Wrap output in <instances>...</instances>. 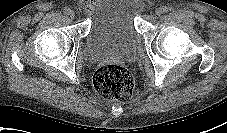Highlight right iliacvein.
<instances>
[{"instance_id":"1","label":"right iliac vein","mask_w":227,"mask_h":133,"mask_svg":"<svg viewBox=\"0 0 227 133\" xmlns=\"http://www.w3.org/2000/svg\"><path fill=\"white\" fill-rule=\"evenodd\" d=\"M69 16H70V18L73 19L75 17V12L74 11H70Z\"/></svg>"}]
</instances>
